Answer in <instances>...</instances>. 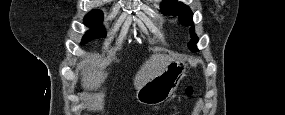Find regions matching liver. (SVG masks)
<instances>
[{
	"label": "liver",
	"mask_w": 285,
	"mask_h": 115,
	"mask_svg": "<svg viewBox=\"0 0 285 115\" xmlns=\"http://www.w3.org/2000/svg\"><path fill=\"white\" fill-rule=\"evenodd\" d=\"M173 61L168 55L153 54L148 60L143 63L134 78V86L138 90L150 79L160 75L168 64ZM97 61L95 59H84L78 66L82 70V87L85 89L98 88L107 78V73L97 70Z\"/></svg>",
	"instance_id": "liver-1"
}]
</instances>
